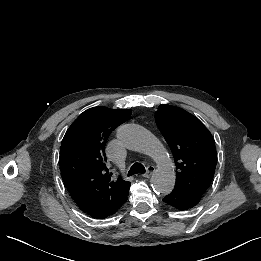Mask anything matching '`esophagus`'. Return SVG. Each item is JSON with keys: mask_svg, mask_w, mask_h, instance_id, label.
<instances>
[{"mask_svg": "<svg viewBox=\"0 0 261 261\" xmlns=\"http://www.w3.org/2000/svg\"><path fill=\"white\" fill-rule=\"evenodd\" d=\"M146 169H147V172L144 173V174H142V176L148 178V177H150V176L152 175V173L155 171V167H154L153 165H148V166L146 167Z\"/></svg>", "mask_w": 261, "mask_h": 261, "instance_id": "obj_1", "label": "esophagus"}]
</instances>
